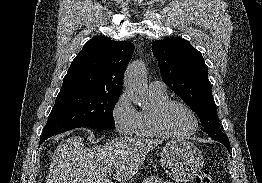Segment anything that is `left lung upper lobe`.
I'll return each instance as SVG.
<instances>
[{
  "mask_svg": "<svg viewBox=\"0 0 262 183\" xmlns=\"http://www.w3.org/2000/svg\"><path fill=\"white\" fill-rule=\"evenodd\" d=\"M152 51L162 80L198 115L208 136L214 140L227 139L220 130L202 54L188 41L176 37L153 42Z\"/></svg>",
  "mask_w": 262,
  "mask_h": 183,
  "instance_id": "5c2ea615",
  "label": "left lung upper lobe"
}]
</instances>
